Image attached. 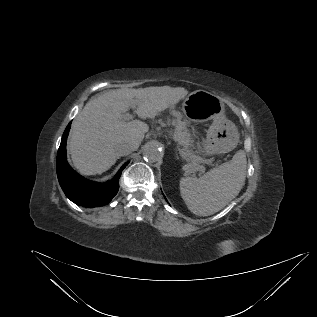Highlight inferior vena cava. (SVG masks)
I'll list each match as a JSON object with an SVG mask.
<instances>
[{
    "mask_svg": "<svg viewBox=\"0 0 317 317\" xmlns=\"http://www.w3.org/2000/svg\"><path fill=\"white\" fill-rule=\"evenodd\" d=\"M138 148V143L136 142H124L118 145L117 147V154L119 156H125L131 153L132 151H135Z\"/></svg>",
    "mask_w": 317,
    "mask_h": 317,
    "instance_id": "1",
    "label": "inferior vena cava"
}]
</instances>
